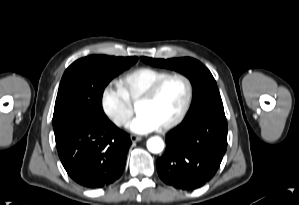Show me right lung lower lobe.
I'll use <instances>...</instances> for the list:
<instances>
[{
	"mask_svg": "<svg viewBox=\"0 0 299 205\" xmlns=\"http://www.w3.org/2000/svg\"><path fill=\"white\" fill-rule=\"evenodd\" d=\"M55 140L68 175L87 188H102L117 181L131 145L129 135L108 118L76 121L55 135Z\"/></svg>",
	"mask_w": 299,
	"mask_h": 205,
	"instance_id": "98d812e1",
	"label": "right lung lower lobe"
}]
</instances>
